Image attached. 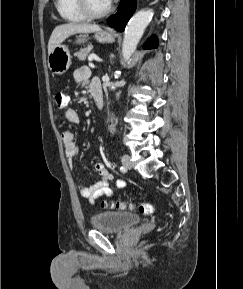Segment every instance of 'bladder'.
I'll return each mask as SVG.
<instances>
[{"label":"bladder","instance_id":"bladder-1","mask_svg":"<svg viewBox=\"0 0 243 289\" xmlns=\"http://www.w3.org/2000/svg\"><path fill=\"white\" fill-rule=\"evenodd\" d=\"M140 222L141 218L138 215L120 211L101 212L91 218L93 228L115 233L128 231Z\"/></svg>","mask_w":243,"mask_h":289}]
</instances>
